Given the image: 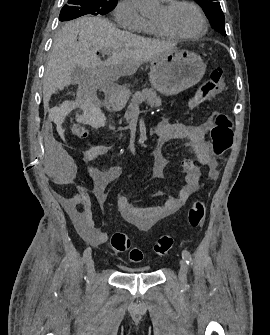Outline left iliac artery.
Returning a JSON list of instances; mask_svg holds the SVG:
<instances>
[{
	"mask_svg": "<svg viewBox=\"0 0 270 335\" xmlns=\"http://www.w3.org/2000/svg\"><path fill=\"white\" fill-rule=\"evenodd\" d=\"M182 258L185 260V262L187 263V265L192 264V256H191V254H190L189 251L183 250L182 251Z\"/></svg>",
	"mask_w": 270,
	"mask_h": 335,
	"instance_id": "left-iliac-artery-1",
	"label": "left iliac artery"
}]
</instances>
